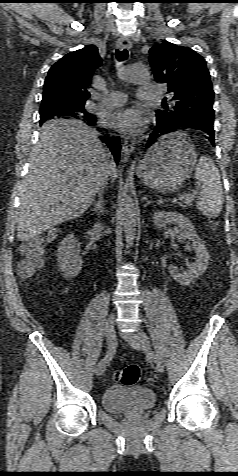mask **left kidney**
I'll return each instance as SVG.
<instances>
[{
  "label": "left kidney",
  "instance_id": "1",
  "mask_svg": "<svg viewBox=\"0 0 238 476\" xmlns=\"http://www.w3.org/2000/svg\"><path fill=\"white\" fill-rule=\"evenodd\" d=\"M153 223L157 227L166 226L169 223L179 228L178 240L189 239L196 253L195 261L187 264V270L180 272L175 266L170 265V274L179 284L188 286L196 278L201 276L209 265V254L204 243L201 241L190 220L182 214L157 210L153 215Z\"/></svg>",
  "mask_w": 238,
  "mask_h": 476
}]
</instances>
